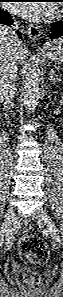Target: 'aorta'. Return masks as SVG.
<instances>
[{
  "instance_id": "aorta-1",
  "label": "aorta",
  "mask_w": 63,
  "mask_h": 297,
  "mask_svg": "<svg viewBox=\"0 0 63 297\" xmlns=\"http://www.w3.org/2000/svg\"><path fill=\"white\" fill-rule=\"evenodd\" d=\"M41 61L33 56L29 63L24 84L23 102L27 113H33L40 97Z\"/></svg>"
}]
</instances>
